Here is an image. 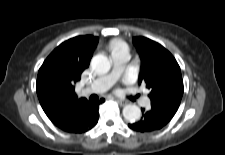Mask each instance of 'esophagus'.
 <instances>
[{
	"instance_id": "obj_1",
	"label": "esophagus",
	"mask_w": 225,
	"mask_h": 155,
	"mask_svg": "<svg viewBox=\"0 0 225 155\" xmlns=\"http://www.w3.org/2000/svg\"><path fill=\"white\" fill-rule=\"evenodd\" d=\"M119 105H121V106H124V105H126L127 104V102L126 101H124V100H121V99H117V98H115L114 99Z\"/></svg>"
}]
</instances>
